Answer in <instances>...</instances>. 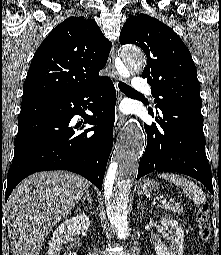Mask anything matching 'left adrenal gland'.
Listing matches in <instances>:
<instances>
[{"instance_id":"a2214340","label":"left adrenal gland","mask_w":221,"mask_h":255,"mask_svg":"<svg viewBox=\"0 0 221 255\" xmlns=\"http://www.w3.org/2000/svg\"><path fill=\"white\" fill-rule=\"evenodd\" d=\"M143 206L144 204L141 202V198H139L137 201V209L139 210V208H142Z\"/></svg>"}]
</instances>
